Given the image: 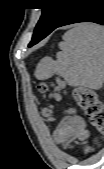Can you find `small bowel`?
Wrapping results in <instances>:
<instances>
[{"label":"small bowel","mask_w":104,"mask_h":169,"mask_svg":"<svg viewBox=\"0 0 104 169\" xmlns=\"http://www.w3.org/2000/svg\"><path fill=\"white\" fill-rule=\"evenodd\" d=\"M88 135L84 119L76 113L67 114L55 131V139L59 143L84 140Z\"/></svg>","instance_id":"small-bowel-1"}]
</instances>
